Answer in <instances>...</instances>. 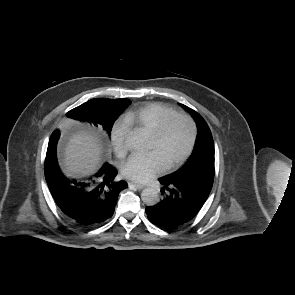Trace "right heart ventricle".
<instances>
[{
	"label": "right heart ventricle",
	"mask_w": 295,
	"mask_h": 295,
	"mask_svg": "<svg viewBox=\"0 0 295 295\" xmlns=\"http://www.w3.org/2000/svg\"><path fill=\"white\" fill-rule=\"evenodd\" d=\"M177 113L173 108L161 103L145 104L128 112L124 117L126 126L152 133L166 117Z\"/></svg>",
	"instance_id": "1"
}]
</instances>
